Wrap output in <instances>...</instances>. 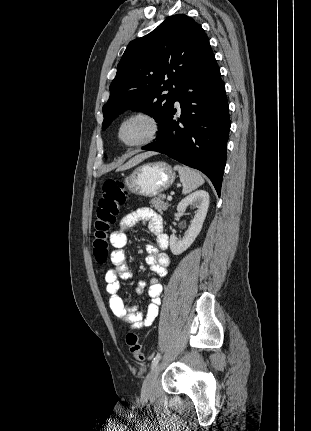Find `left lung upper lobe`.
<instances>
[{
	"label": "left lung upper lobe",
	"instance_id": "5c2ea615",
	"mask_svg": "<svg viewBox=\"0 0 311 431\" xmlns=\"http://www.w3.org/2000/svg\"><path fill=\"white\" fill-rule=\"evenodd\" d=\"M209 49L202 27L184 14L168 17L148 35L131 41L110 85L102 129L128 109L143 111L161 125L183 80Z\"/></svg>",
	"mask_w": 311,
	"mask_h": 431
}]
</instances>
